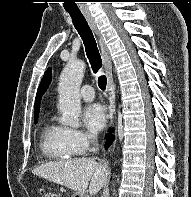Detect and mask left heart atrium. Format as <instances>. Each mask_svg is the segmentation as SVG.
I'll list each match as a JSON object with an SVG mask.
<instances>
[{
	"mask_svg": "<svg viewBox=\"0 0 191 197\" xmlns=\"http://www.w3.org/2000/svg\"><path fill=\"white\" fill-rule=\"evenodd\" d=\"M85 126L92 132L97 133L103 129L106 123V112L102 105L91 104L83 111Z\"/></svg>",
	"mask_w": 191,
	"mask_h": 197,
	"instance_id": "39dd6f15",
	"label": "left heart atrium"
}]
</instances>
